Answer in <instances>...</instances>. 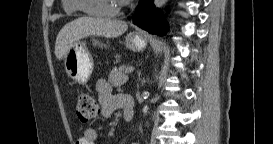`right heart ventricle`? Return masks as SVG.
<instances>
[{"instance_id": "obj_1", "label": "right heart ventricle", "mask_w": 273, "mask_h": 144, "mask_svg": "<svg viewBox=\"0 0 273 144\" xmlns=\"http://www.w3.org/2000/svg\"><path fill=\"white\" fill-rule=\"evenodd\" d=\"M62 7L64 12L68 14H74L78 11L74 0H63Z\"/></svg>"}]
</instances>
